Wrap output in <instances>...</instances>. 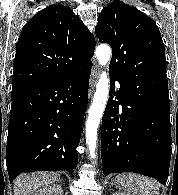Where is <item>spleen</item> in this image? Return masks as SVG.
<instances>
[{"label":"spleen","instance_id":"spleen-1","mask_svg":"<svg viewBox=\"0 0 178 195\" xmlns=\"http://www.w3.org/2000/svg\"><path fill=\"white\" fill-rule=\"evenodd\" d=\"M115 182L119 187L129 190L131 195H160L158 182L139 174H118Z\"/></svg>","mask_w":178,"mask_h":195}]
</instances>
